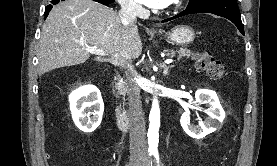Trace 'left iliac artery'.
I'll use <instances>...</instances> for the list:
<instances>
[{"label":"left iliac artery","instance_id":"1","mask_svg":"<svg viewBox=\"0 0 277 166\" xmlns=\"http://www.w3.org/2000/svg\"><path fill=\"white\" fill-rule=\"evenodd\" d=\"M154 156H155V158L157 160V163H158V166H159V155H158V153H155Z\"/></svg>","mask_w":277,"mask_h":166}]
</instances>
